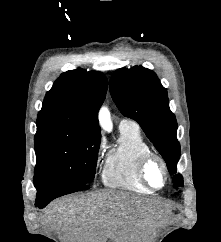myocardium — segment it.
Instances as JSON below:
<instances>
[{"label": "myocardium", "mask_w": 221, "mask_h": 242, "mask_svg": "<svg viewBox=\"0 0 221 242\" xmlns=\"http://www.w3.org/2000/svg\"><path fill=\"white\" fill-rule=\"evenodd\" d=\"M152 162H158L164 172V183L161 187H154L147 176V169L148 166L152 163ZM138 175L140 177V179L142 180V182L151 190H161L163 188H165V186L167 185L168 181H169V167L168 164L166 162V160L159 155L158 153L155 152H148L146 154H144L141 159L139 160L138 163Z\"/></svg>", "instance_id": "obj_1"}]
</instances>
